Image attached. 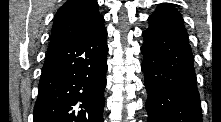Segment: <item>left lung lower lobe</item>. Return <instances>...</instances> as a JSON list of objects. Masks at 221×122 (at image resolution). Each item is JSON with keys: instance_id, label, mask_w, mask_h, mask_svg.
<instances>
[{"instance_id": "0a47b994", "label": "left lung lower lobe", "mask_w": 221, "mask_h": 122, "mask_svg": "<svg viewBox=\"0 0 221 122\" xmlns=\"http://www.w3.org/2000/svg\"><path fill=\"white\" fill-rule=\"evenodd\" d=\"M142 33L147 122H202L194 59L179 12L160 4Z\"/></svg>"}]
</instances>
